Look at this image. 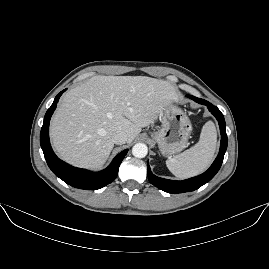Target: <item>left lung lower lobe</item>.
<instances>
[{"label":"left lung lower lobe","instance_id":"1","mask_svg":"<svg viewBox=\"0 0 269 269\" xmlns=\"http://www.w3.org/2000/svg\"><path fill=\"white\" fill-rule=\"evenodd\" d=\"M189 98L193 99L194 101L200 104L206 105L209 111L218 120L219 126H220V132H221L220 151L217 158L215 159L213 164L210 166V168L206 172H204L203 174L199 176L182 180V181H174V180H168V179L157 177L151 172L150 167L148 165L147 176H148L149 182L152 183L157 188L168 193H183V192L194 191L198 189L199 187H201L202 185L209 182L219 171L223 162L224 154L227 149V134L225 130V120L221 111L216 106L212 105L210 102L206 100H203V99L191 96V95H189Z\"/></svg>","mask_w":269,"mask_h":269}]
</instances>
